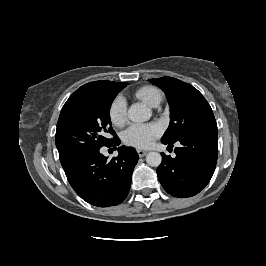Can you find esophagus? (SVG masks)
<instances>
[{
  "label": "esophagus",
  "instance_id": "1",
  "mask_svg": "<svg viewBox=\"0 0 266 266\" xmlns=\"http://www.w3.org/2000/svg\"><path fill=\"white\" fill-rule=\"evenodd\" d=\"M137 153H138L139 157H144L147 154V151L138 149Z\"/></svg>",
  "mask_w": 266,
  "mask_h": 266
}]
</instances>
